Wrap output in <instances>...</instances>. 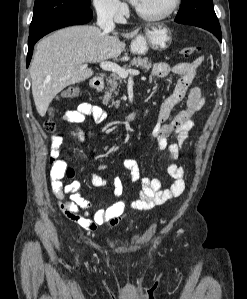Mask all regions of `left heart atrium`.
Listing matches in <instances>:
<instances>
[{
  "label": "left heart atrium",
  "mask_w": 247,
  "mask_h": 299,
  "mask_svg": "<svg viewBox=\"0 0 247 299\" xmlns=\"http://www.w3.org/2000/svg\"><path fill=\"white\" fill-rule=\"evenodd\" d=\"M132 4L137 5L140 0H129Z\"/></svg>",
  "instance_id": "obj_1"
}]
</instances>
